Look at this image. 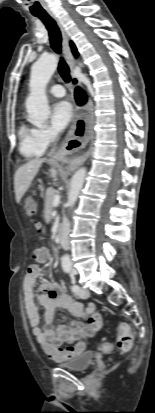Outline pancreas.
Here are the masks:
<instances>
[{
  "mask_svg": "<svg viewBox=\"0 0 155 413\" xmlns=\"http://www.w3.org/2000/svg\"><path fill=\"white\" fill-rule=\"evenodd\" d=\"M56 193L57 191L53 188L47 189L45 193V217L47 221H50L51 219L53 200H54V196L56 195Z\"/></svg>",
  "mask_w": 155,
  "mask_h": 413,
  "instance_id": "pancreas-1",
  "label": "pancreas"
}]
</instances>
